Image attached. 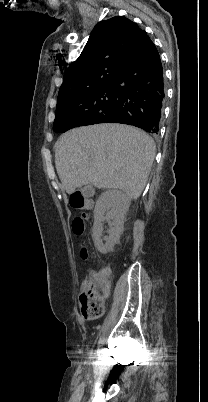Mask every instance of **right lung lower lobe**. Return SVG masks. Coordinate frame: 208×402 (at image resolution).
<instances>
[{"label":"right lung lower lobe","instance_id":"obj_1","mask_svg":"<svg viewBox=\"0 0 208 402\" xmlns=\"http://www.w3.org/2000/svg\"><path fill=\"white\" fill-rule=\"evenodd\" d=\"M113 84L116 106L90 119L61 121L56 132L98 123H122L158 134L164 104V78L159 53L146 36Z\"/></svg>","mask_w":208,"mask_h":402}]
</instances>
